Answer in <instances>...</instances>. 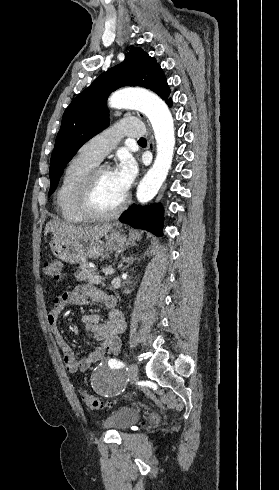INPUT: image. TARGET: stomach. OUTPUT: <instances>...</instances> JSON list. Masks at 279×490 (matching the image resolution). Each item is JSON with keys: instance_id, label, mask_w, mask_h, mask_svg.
I'll list each match as a JSON object with an SVG mask.
<instances>
[{"instance_id": "stomach-1", "label": "stomach", "mask_w": 279, "mask_h": 490, "mask_svg": "<svg viewBox=\"0 0 279 490\" xmlns=\"http://www.w3.org/2000/svg\"><path fill=\"white\" fill-rule=\"evenodd\" d=\"M118 230H109V234H105V242H100L96 244L94 240L88 244V248L80 242H72L68 238H60V236H55L51 240L49 246L51 252L55 258L62 260V262H67V264H82V262H87V260H104V258H109V254L114 252H121L125 242H128L127 236L120 234L119 230L122 228L121 224H115ZM131 240H139V232H132L130 230Z\"/></svg>"}]
</instances>
